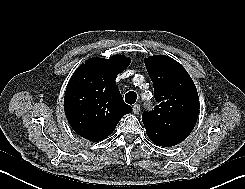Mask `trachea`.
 I'll return each instance as SVG.
<instances>
[{
  "label": "trachea",
  "mask_w": 245,
  "mask_h": 189,
  "mask_svg": "<svg viewBox=\"0 0 245 189\" xmlns=\"http://www.w3.org/2000/svg\"><path fill=\"white\" fill-rule=\"evenodd\" d=\"M136 100H137V94L133 91H130L125 95V101L128 104H134Z\"/></svg>",
  "instance_id": "obj_1"
}]
</instances>
